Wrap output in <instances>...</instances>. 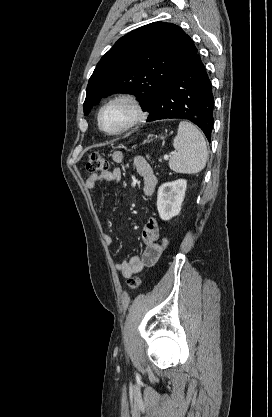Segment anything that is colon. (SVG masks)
<instances>
[{
    "instance_id": "obj_1",
    "label": "colon",
    "mask_w": 272,
    "mask_h": 417,
    "mask_svg": "<svg viewBox=\"0 0 272 417\" xmlns=\"http://www.w3.org/2000/svg\"><path fill=\"white\" fill-rule=\"evenodd\" d=\"M109 162L105 159L101 154L98 152H92L88 155V159L86 162V169L89 172L96 173V172H106L109 169ZM168 238L164 237L158 242V247L161 251H164L168 246ZM128 286L130 289H137L140 284L141 280L139 277L133 276L130 277L127 281Z\"/></svg>"
}]
</instances>
